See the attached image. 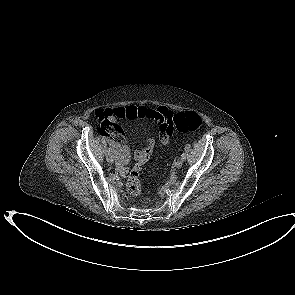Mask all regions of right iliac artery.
<instances>
[{
  "mask_svg": "<svg viewBox=\"0 0 295 295\" xmlns=\"http://www.w3.org/2000/svg\"><path fill=\"white\" fill-rule=\"evenodd\" d=\"M110 152H111V150H110V148H108V149L106 150V155H109Z\"/></svg>",
  "mask_w": 295,
  "mask_h": 295,
  "instance_id": "82829eb1",
  "label": "right iliac artery"
}]
</instances>
